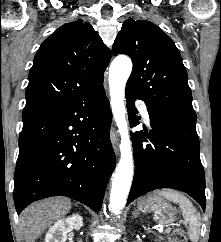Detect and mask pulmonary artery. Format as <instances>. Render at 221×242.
Segmentation results:
<instances>
[{
  "instance_id": "obj_1",
  "label": "pulmonary artery",
  "mask_w": 221,
  "mask_h": 242,
  "mask_svg": "<svg viewBox=\"0 0 221 242\" xmlns=\"http://www.w3.org/2000/svg\"><path fill=\"white\" fill-rule=\"evenodd\" d=\"M137 105H138V108H139L143 118L145 119V121L149 122V113H148L146 105L140 101H138Z\"/></svg>"
}]
</instances>
